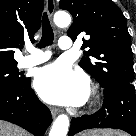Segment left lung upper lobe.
Masks as SVG:
<instances>
[{"mask_svg": "<svg viewBox=\"0 0 136 136\" xmlns=\"http://www.w3.org/2000/svg\"><path fill=\"white\" fill-rule=\"evenodd\" d=\"M59 6L73 16V24L67 31L72 40L80 33L90 36L83 39L81 49H86L87 57L79 65L103 88L133 83L131 37L119 7L111 0H60Z\"/></svg>", "mask_w": 136, "mask_h": 136, "instance_id": "left-lung-upper-lobe-1", "label": "left lung upper lobe"}]
</instances>
